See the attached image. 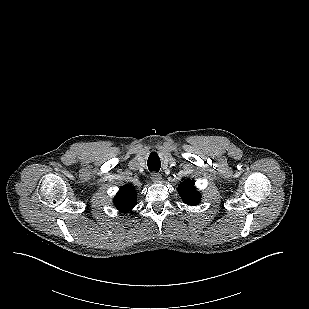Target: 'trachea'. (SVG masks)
Returning <instances> with one entry per match:
<instances>
[{
	"instance_id": "1",
	"label": "trachea",
	"mask_w": 309,
	"mask_h": 309,
	"mask_svg": "<svg viewBox=\"0 0 309 309\" xmlns=\"http://www.w3.org/2000/svg\"><path fill=\"white\" fill-rule=\"evenodd\" d=\"M147 166L149 171H155L158 172L160 170L161 167V162H160V158L157 155V153L153 152L150 154L148 161H147Z\"/></svg>"
}]
</instances>
